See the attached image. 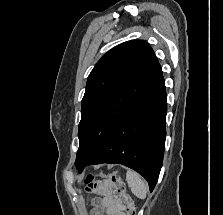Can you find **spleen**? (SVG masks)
<instances>
[{
  "mask_svg": "<svg viewBox=\"0 0 223 215\" xmlns=\"http://www.w3.org/2000/svg\"><path fill=\"white\" fill-rule=\"evenodd\" d=\"M126 179L129 183V187H131L132 193L137 195V197H140V199H144V197H146L148 187L145 181L141 179L140 175H138L136 171H131V169H128Z\"/></svg>",
  "mask_w": 223,
  "mask_h": 215,
  "instance_id": "spleen-1",
  "label": "spleen"
}]
</instances>
